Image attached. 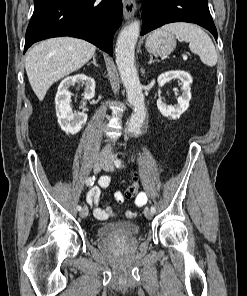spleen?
I'll return each mask as SVG.
<instances>
[{
    "label": "spleen",
    "instance_id": "3e777b00",
    "mask_svg": "<svg viewBox=\"0 0 247 296\" xmlns=\"http://www.w3.org/2000/svg\"><path fill=\"white\" fill-rule=\"evenodd\" d=\"M161 30L170 32L182 41L189 43L191 52L199 55L201 61L210 67L217 63L218 55L215 46L207 33L191 23L176 22L164 25Z\"/></svg>",
    "mask_w": 247,
    "mask_h": 296
}]
</instances>
